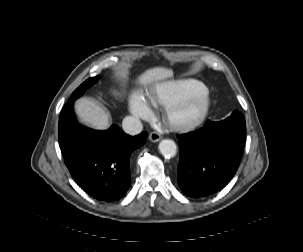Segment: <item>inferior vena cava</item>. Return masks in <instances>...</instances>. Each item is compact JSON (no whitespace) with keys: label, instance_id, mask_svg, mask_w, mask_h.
Wrapping results in <instances>:
<instances>
[{"label":"inferior vena cava","instance_id":"602c4592","mask_svg":"<svg viewBox=\"0 0 303 252\" xmlns=\"http://www.w3.org/2000/svg\"><path fill=\"white\" fill-rule=\"evenodd\" d=\"M122 127L124 132L130 135H137L143 129L141 121L132 116H127L123 119Z\"/></svg>","mask_w":303,"mask_h":252}]
</instances>
